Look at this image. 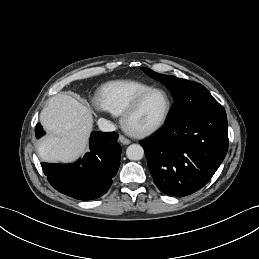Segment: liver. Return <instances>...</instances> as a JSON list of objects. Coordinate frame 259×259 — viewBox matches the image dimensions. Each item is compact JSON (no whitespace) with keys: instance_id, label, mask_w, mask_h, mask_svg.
<instances>
[{"instance_id":"1","label":"liver","mask_w":259,"mask_h":259,"mask_svg":"<svg viewBox=\"0 0 259 259\" xmlns=\"http://www.w3.org/2000/svg\"><path fill=\"white\" fill-rule=\"evenodd\" d=\"M49 135L38 145V154L48 162H72L88 151L93 127L92 111L66 94L53 96L40 114Z\"/></svg>"}]
</instances>
